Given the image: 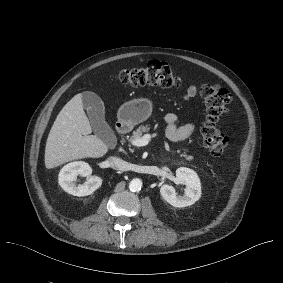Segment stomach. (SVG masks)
Segmentation results:
<instances>
[{
  "label": "stomach",
  "mask_w": 283,
  "mask_h": 283,
  "mask_svg": "<svg viewBox=\"0 0 283 283\" xmlns=\"http://www.w3.org/2000/svg\"><path fill=\"white\" fill-rule=\"evenodd\" d=\"M142 99H134L127 103L121 112L118 111V120L123 126L132 128L150 117L146 115L150 110L149 103Z\"/></svg>",
  "instance_id": "1"
}]
</instances>
